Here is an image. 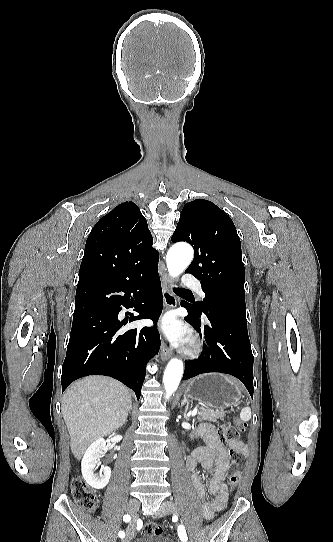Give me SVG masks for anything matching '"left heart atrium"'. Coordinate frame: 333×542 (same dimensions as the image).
Wrapping results in <instances>:
<instances>
[{"label":"left heart atrium","mask_w":333,"mask_h":542,"mask_svg":"<svg viewBox=\"0 0 333 542\" xmlns=\"http://www.w3.org/2000/svg\"><path fill=\"white\" fill-rule=\"evenodd\" d=\"M161 325L166 335L176 345L186 343L191 335L190 329L172 313L163 318Z\"/></svg>","instance_id":"obj_1"}]
</instances>
